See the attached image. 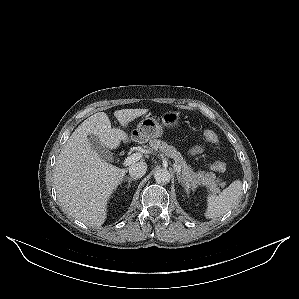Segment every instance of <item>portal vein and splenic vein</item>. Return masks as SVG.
Listing matches in <instances>:
<instances>
[{"mask_svg": "<svg viewBox=\"0 0 299 299\" xmlns=\"http://www.w3.org/2000/svg\"><path fill=\"white\" fill-rule=\"evenodd\" d=\"M141 157H142V155H141L140 153H134V154L128 156V157L124 160L123 165H125V166L131 165V164L137 162ZM176 171H177V172H180V171H181V168H180L179 166H176Z\"/></svg>", "mask_w": 299, "mask_h": 299, "instance_id": "portal-vein-and-splenic-vein-1", "label": "portal vein and splenic vein"}]
</instances>
